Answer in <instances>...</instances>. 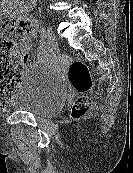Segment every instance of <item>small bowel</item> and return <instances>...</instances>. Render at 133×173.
Returning <instances> with one entry per match:
<instances>
[{"label": "small bowel", "instance_id": "1", "mask_svg": "<svg viewBox=\"0 0 133 173\" xmlns=\"http://www.w3.org/2000/svg\"><path fill=\"white\" fill-rule=\"evenodd\" d=\"M28 22L30 23L29 34H30V36H34L37 33V31L39 30V24L35 20H32V19H29ZM30 36H26L22 39L23 49L25 51H27L29 49L30 42H31ZM24 59H25V61L27 60L26 57ZM39 59L41 61H48V60L60 61L61 60V58L57 54H51L47 50H42L40 52Z\"/></svg>", "mask_w": 133, "mask_h": 173}]
</instances>
